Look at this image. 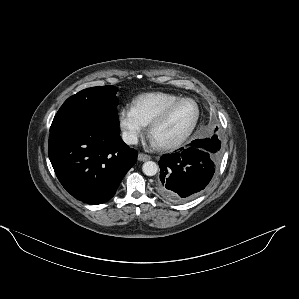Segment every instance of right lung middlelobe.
Here are the masks:
<instances>
[{
  "mask_svg": "<svg viewBox=\"0 0 299 299\" xmlns=\"http://www.w3.org/2000/svg\"><path fill=\"white\" fill-rule=\"evenodd\" d=\"M117 91L114 86L92 87L69 97L55 115L50 131L82 121L119 126Z\"/></svg>",
  "mask_w": 299,
  "mask_h": 299,
  "instance_id": "dd1d6c3e",
  "label": "right lung middle lobe"
}]
</instances>
